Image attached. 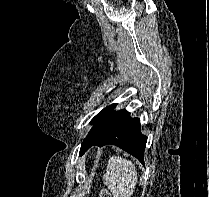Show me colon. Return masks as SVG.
<instances>
[{
    "mask_svg": "<svg viewBox=\"0 0 209 197\" xmlns=\"http://www.w3.org/2000/svg\"><path fill=\"white\" fill-rule=\"evenodd\" d=\"M98 197H112V195H111V193H110L109 191H107V190H102V191L99 193Z\"/></svg>",
    "mask_w": 209,
    "mask_h": 197,
    "instance_id": "obj_1",
    "label": "colon"
}]
</instances>
